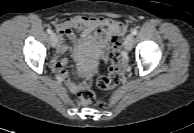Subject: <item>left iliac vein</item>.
Instances as JSON below:
<instances>
[{
	"label": "left iliac vein",
	"instance_id": "left-iliac-vein-1",
	"mask_svg": "<svg viewBox=\"0 0 194 133\" xmlns=\"http://www.w3.org/2000/svg\"><path fill=\"white\" fill-rule=\"evenodd\" d=\"M132 44H133V35L129 34L126 36L125 41H124V46L127 51H130L132 49Z\"/></svg>",
	"mask_w": 194,
	"mask_h": 133
}]
</instances>
